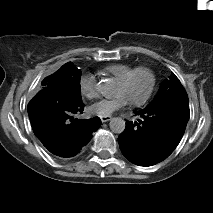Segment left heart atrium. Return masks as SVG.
<instances>
[{"label":"left heart atrium","mask_w":213,"mask_h":213,"mask_svg":"<svg viewBox=\"0 0 213 213\" xmlns=\"http://www.w3.org/2000/svg\"><path fill=\"white\" fill-rule=\"evenodd\" d=\"M127 103L124 96L118 95L109 99L102 100L93 106V111L101 115H109L122 108Z\"/></svg>","instance_id":"obj_1"}]
</instances>
